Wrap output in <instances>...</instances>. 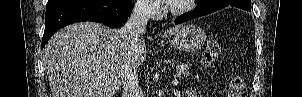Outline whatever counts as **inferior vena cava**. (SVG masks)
<instances>
[{
  "mask_svg": "<svg viewBox=\"0 0 302 97\" xmlns=\"http://www.w3.org/2000/svg\"><path fill=\"white\" fill-rule=\"evenodd\" d=\"M152 11L151 0H139L135 3L133 11L127 22L121 29V35L124 37L133 51L138 41L143 37L146 31L148 19ZM133 61H134V57ZM138 65L136 62L129 65L126 70L123 82L124 97H144L143 91L139 86L137 77Z\"/></svg>",
  "mask_w": 302,
  "mask_h": 97,
  "instance_id": "inferior-vena-cava-1",
  "label": "inferior vena cava"
}]
</instances>
